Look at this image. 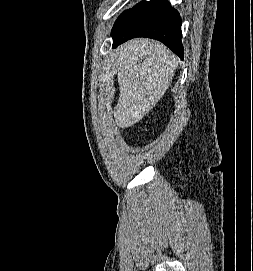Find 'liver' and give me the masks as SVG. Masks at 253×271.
I'll use <instances>...</instances> for the list:
<instances>
[{"instance_id":"1","label":"liver","mask_w":253,"mask_h":271,"mask_svg":"<svg viewBox=\"0 0 253 271\" xmlns=\"http://www.w3.org/2000/svg\"><path fill=\"white\" fill-rule=\"evenodd\" d=\"M119 100L114 107L116 125L128 128L155 107L169 88L177 58L163 44L133 39L118 49Z\"/></svg>"}]
</instances>
